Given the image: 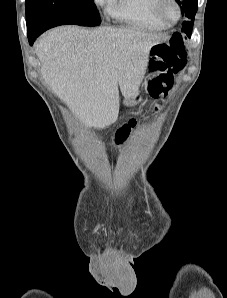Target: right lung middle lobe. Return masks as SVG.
Segmentation results:
<instances>
[{"label":"right lung middle lobe","instance_id":"1","mask_svg":"<svg viewBox=\"0 0 227 298\" xmlns=\"http://www.w3.org/2000/svg\"><path fill=\"white\" fill-rule=\"evenodd\" d=\"M27 34L64 24L97 26L100 16L93 0H26Z\"/></svg>","mask_w":227,"mask_h":298}]
</instances>
